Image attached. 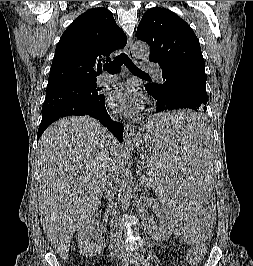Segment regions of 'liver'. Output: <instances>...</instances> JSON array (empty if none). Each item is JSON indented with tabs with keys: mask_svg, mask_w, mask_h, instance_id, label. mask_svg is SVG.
I'll use <instances>...</instances> for the list:
<instances>
[{
	"mask_svg": "<svg viewBox=\"0 0 253 266\" xmlns=\"http://www.w3.org/2000/svg\"><path fill=\"white\" fill-rule=\"evenodd\" d=\"M121 145L93 118L67 117L38 142L39 214L56 252L67 258L75 231L98 210Z\"/></svg>",
	"mask_w": 253,
	"mask_h": 266,
	"instance_id": "obj_1",
	"label": "liver"
}]
</instances>
